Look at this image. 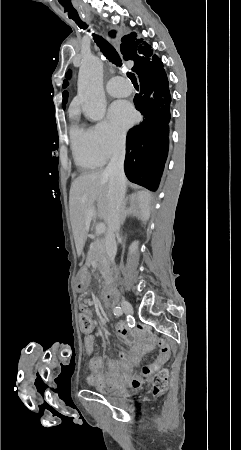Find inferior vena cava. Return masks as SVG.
<instances>
[{
    "mask_svg": "<svg viewBox=\"0 0 241 450\" xmlns=\"http://www.w3.org/2000/svg\"><path fill=\"white\" fill-rule=\"evenodd\" d=\"M125 142L126 134L119 140V144L111 158L104 174L109 176V194H110V222L105 236V250L110 262H114L117 252L116 236L121 228V222L125 218L124 198H125Z\"/></svg>",
    "mask_w": 241,
    "mask_h": 450,
    "instance_id": "602c4592",
    "label": "inferior vena cava"
}]
</instances>
